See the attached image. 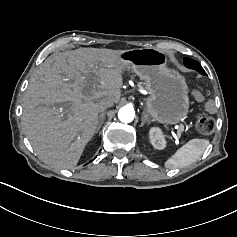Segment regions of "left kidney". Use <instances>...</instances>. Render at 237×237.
<instances>
[{
    "instance_id": "5707ae66",
    "label": "left kidney",
    "mask_w": 237,
    "mask_h": 237,
    "mask_svg": "<svg viewBox=\"0 0 237 237\" xmlns=\"http://www.w3.org/2000/svg\"><path fill=\"white\" fill-rule=\"evenodd\" d=\"M149 138L155 149L162 150L166 147L165 135L158 127H152L149 131Z\"/></svg>"
}]
</instances>
